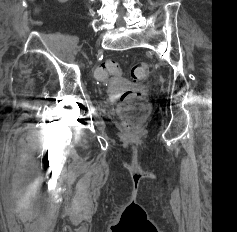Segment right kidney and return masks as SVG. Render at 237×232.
<instances>
[{
  "instance_id": "right-kidney-1",
  "label": "right kidney",
  "mask_w": 237,
  "mask_h": 232,
  "mask_svg": "<svg viewBox=\"0 0 237 232\" xmlns=\"http://www.w3.org/2000/svg\"><path fill=\"white\" fill-rule=\"evenodd\" d=\"M59 2H61V3H65V2H67L68 0H58Z\"/></svg>"
}]
</instances>
